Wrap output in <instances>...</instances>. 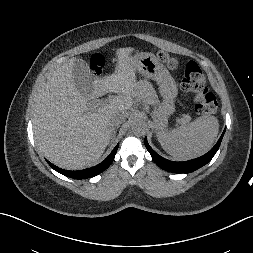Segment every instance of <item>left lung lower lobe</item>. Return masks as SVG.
<instances>
[{
    "label": "left lung lower lobe",
    "mask_w": 253,
    "mask_h": 253,
    "mask_svg": "<svg viewBox=\"0 0 253 253\" xmlns=\"http://www.w3.org/2000/svg\"><path fill=\"white\" fill-rule=\"evenodd\" d=\"M224 133L225 130L223 131L218 142L208 153L199 158L185 162H174L161 157L149 146L147 138L144 139V143L147 150L150 152L152 159L160 168L173 173H190L204 166L214 157L217 150L219 149Z\"/></svg>",
    "instance_id": "0a47b994"
}]
</instances>
